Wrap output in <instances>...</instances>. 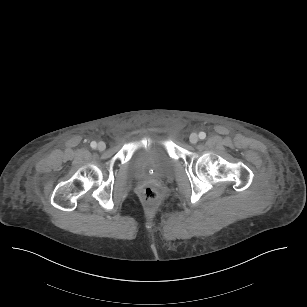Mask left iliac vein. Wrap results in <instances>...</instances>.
I'll return each mask as SVG.
<instances>
[{
    "label": "left iliac vein",
    "mask_w": 307,
    "mask_h": 307,
    "mask_svg": "<svg viewBox=\"0 0 307 307\" xmlns=\"http://www.w3.org/2000/svg\"><path fill=\"white\" fill-rule=\"evenodd\" d=\"M189 140L192 144H196L198 142V135L195 133L191 134Z\"/></svg>",
    "instance_id": "1"
}]
</instances>
